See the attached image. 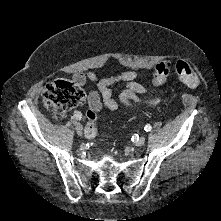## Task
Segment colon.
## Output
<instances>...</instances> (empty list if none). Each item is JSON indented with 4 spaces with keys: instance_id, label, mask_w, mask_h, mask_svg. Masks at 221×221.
Instances as JSON below:
<instances>
[{
    "instance_id": "1",
    "label": "colon",
    "mask_w": 221,
    "mask_h": 221,
    "mask_svg": "<svg viewBox=\"0 0 221 221\" xmlns=\"http://www.w3.org/2000/svg\"><path fill=\"white\" fill-rule=\"evenodd\" d=\"M173 68L179 78L188 86L195 87L200 83L198 74L188 62L178 61L173 65L170 61H163L155 67L152 77L153 84L156 86L163 85ZM84 96L83 90L68 80H56L47 84L42 94L44 105L53 113L56 120H61L68 109L78 106L83 101ZM86 117V136L94 138L97 133V112L89 109Z\"/></svg>"
}]
</instances>
